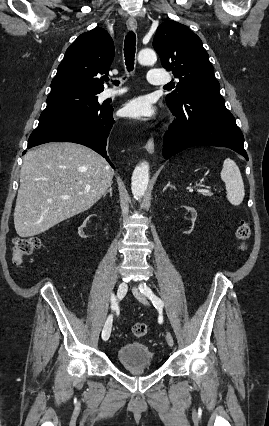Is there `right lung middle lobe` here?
<instances>
[{
  "instance_id": "right-lung-middle-lobe-1",
  "label": "right lung middle lobe",
  "mask_w": 269,
  "mask_h": 426,
  "mask_svg": "<svg viewBox=\"0 0 269 426\" xmlns=\"http://www.w3.org/2000/svg\"><path fill=\"white\" fill-rule=\"evenodd\" d=\"M97 94L75 89L51 92L38 126L100 109Z\"/></svg>"
}]
</instances>
